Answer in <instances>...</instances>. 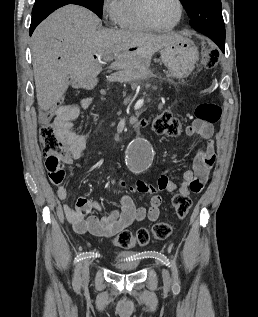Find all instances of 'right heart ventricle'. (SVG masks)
<instances>
[{
	"label": "right heart ventricle",
	"instance_id": "obj_1",
	"mask_svg": "<svg viewBox=\"0 0 258 317\" xmlns=\"http://www.w3.org/2000/svg\"><path fill=\"white\" fill-rule=\"evenodd\" d=\"M146 0H119V26L124 30L134 32H148L141 19L142 6Z\"/></svg>",
	"mask_w": 258,
	"mask_h": 317
}]
</instances>
